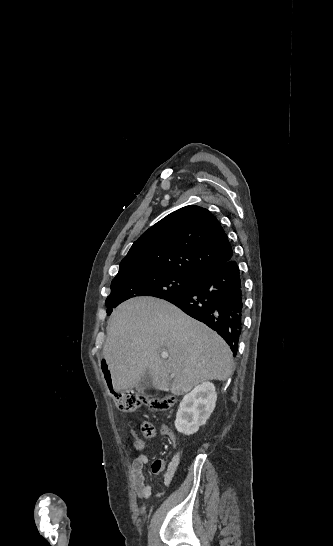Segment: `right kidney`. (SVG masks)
Listing matches in <instances>:
<instances>
[{"instance_id":"right-kidney-1","label":"right kidney","mask_w":333,"mask_h":546,"mask_svg":"<svg viewBox=\"0 0 333 546\" xmlns=\"http://www.w3.org/2000/svg\"><path fill=\"white\" fill-rule=\"evenodd\" d=\"M216 399L215 386L210 382H204L186 394L176 414L177 431L185 435L196 433L213 412Z\"/></svg>"}]
</instances>
